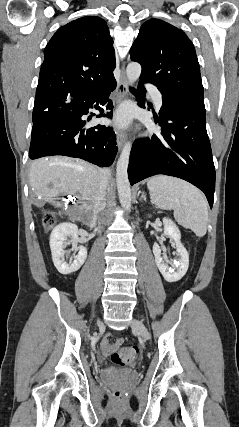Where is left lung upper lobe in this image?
<instances>
[{"instance_id":"5c2ea615","label":"left lung upper lobe","mask_w":239,"mask_h":427,"mask_svg":"<svg viewBox=\"0 0 239 427\" xmlns=\"http://www.w3.org/2000/svg\"><path fill=\"white\" fill-rule=\"evenodd\" d=\"M130 55L142 66V82L153 83L161 93L204 107L195 48L182 30L163 20H148L142 24Z\"/></svg>"}]
</instances>
